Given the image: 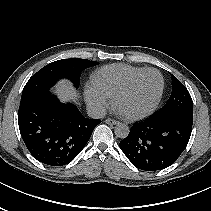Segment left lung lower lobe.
Masks as SVG:
<instances>
[{"mask_svg":"<svg viewBox=\"0 0 211 211\" xmlns=\"http://www.w3.org/2000/svg\"><path fill=\"white\" fill-rule=\"evenodd\" d=\"M192 124V120L183 117H151L135 123L120 148L138 169L161 170L172 165L184 151Z\"/></svg>","mask_w":211,"mask_h":211,"instance_id":"0a47b994","label":"left lung lower lobe"}]
</instances>
